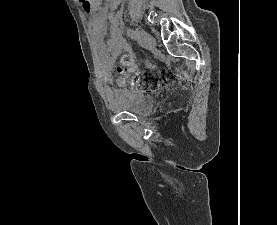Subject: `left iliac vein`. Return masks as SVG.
<instances>
[{
    "mask_svg": "<svg viewBox=\"0 0 277 225\" xmlns=\"http://www.w3.org/2000/svg\"><path fill=\"white\" fill-rule=\"evenodd\" d=\"M136 39L138 43L146 49H152L156 46V40L154 37L144 30L136 31Z\"/></svg>",
    "mask_w": 277,
    "mask_h": 225,
    "instance_id": "obj_1",
    "label": "left iliac vein"
}]
</instances>
